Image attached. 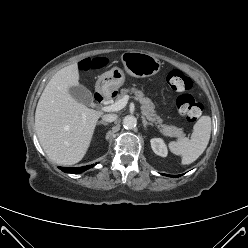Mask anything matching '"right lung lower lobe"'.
<instances>
[{"label":"right lung lower lobe","mask_w":248,"mask_h":248,"mask_svg":"<svg viewBox=\"0 0 248 248\" xmlns=\"http://www.w3.org/2000/svg\"><path fill=\"white\" fill-rule=\"evenodd\" d=\"M93 166H95V164L92 165H88V166H84V167H73V168H69V167H59L62 171L67 172V173H73V174H78L81 172H84L85 170L92 168Z\"/></svg>","instance_id":"right-lung-lower-lobe-1"}]
</instances>
